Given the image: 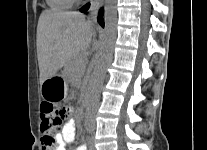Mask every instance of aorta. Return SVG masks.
Here are the masks:
<instances>
[{
  "label": "aorta",
  "instance_id": "obj_1",
  "mask_svg": "<svg viewBox=\"0 0 207 150\" xmlns=\"http://www.w3.org/2000/svg\"><path fill=\"white\" fill-rule=\"evenodd\" d=\"M117 0H105L104 7V34L102 38V46L100 59L94 70V78L90 88L88 106L90 111H94L98 105L100 92L103 87L106 74L107 64L112 57L114 43L117 33Z\"/></svg>",
  "mask_w": 207,
  "mask_h": 150
}]
</instances>
